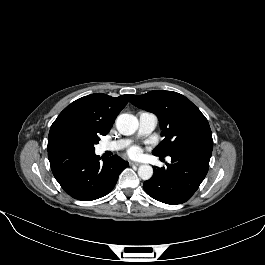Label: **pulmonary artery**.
I'll return each mask as SVG.
<instances>
[{"label":"pulmonary artery","mask_w":265,"mask_h":265,"mask_svg":"<svg viewBox=\"0 0 265 265\" xmlns=\"http://www.w3.org/2000/svg\"><path fill=\"white\" fill-rule=\"evenodd\" d=\"M138 134L141 136L151 133L157 125V118L151 113H140L137 117ZM129 144V140L121 139L118 141L105 143L101 145L103 151H117Z\"/></svg>","instance_id":"e3ab8cb5"}]
</instances>
